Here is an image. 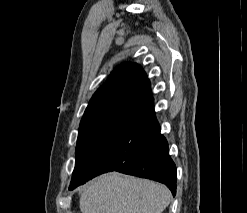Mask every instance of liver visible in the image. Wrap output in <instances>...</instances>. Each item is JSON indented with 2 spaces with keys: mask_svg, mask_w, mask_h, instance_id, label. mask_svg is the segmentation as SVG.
<instances>
[{
  "mask_svg": "<svg viewBox=\"0 0 247 213\" xmlns=\"http://www.w3.org/2000/svg\"><path fill=\"white\" fill-rule=\"evenodd\" d=\"M170 200L164 185L111 172L84 187L79 207L81 213H162Z\"/></svg>",
  "mask_w": 247,
  "mask_h": 213,
  "instance_id": "liver-1",
  "label": "liver"
}]
</instances>
